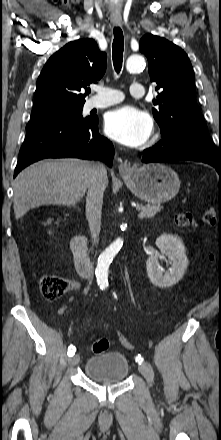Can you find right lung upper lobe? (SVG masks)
Here are the masks:
<instances>
[{"label":"right lung upper lobe","instance_id":"right-lung-upper-lobe-1","mask_svg":"<svg viewBox=\"0 0 221 440\" xmlns=\"http://www.w3.org/2000/svg\"><path fill=\"white\" fill-rule=\"evenodd\" d=\"M106 66V53L99 50L93 39L69 42L52 55L42 69L32 111L83 106L86 93L81 92L104 75Z\"/></svg>","mask_w":221,"mask_h":440}]
</instances>
